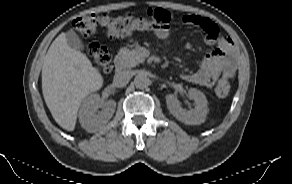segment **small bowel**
Returning a JSON list of instances; mask_svg holds the SVG:
<instances>
[{
	"label": "small bowel",
	"instance_id": "c3829d8e",
	"mask_svg": "<svg viewBox=\"0 0 292 184\" xmlns=\"http://www.w3.org/2000/svg\"><path fill=\"white\" fill-rule=\"evenodd\" d=\"M182 21L186 25H193L205 32V41L208 45H216L217 48L207 54L200 68L192 73L183 74L182 78L192 84L210 88L221 76L231 79L237 69V52L231 39L220 36V29L210 19L195 15H184ZM157 37L167 41L170 38L168 27L156 32Z\"/></svg>",
	"mask_w": 292,
	"mask_h": 184
}]
</instances>
